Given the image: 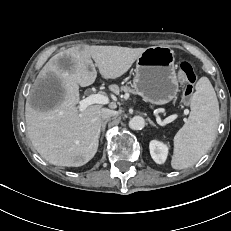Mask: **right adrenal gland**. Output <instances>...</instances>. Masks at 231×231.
<instances>
[{"mask_svg":"<svg viewBox=\"0 0 231 231\" xmlns=\"http://www.w3.org/2000/svg\"><path fill=\"white\" fill-rule=\"evenodd\" d=\"M108 121H109V120H105V121H103V122L101 123L100 131H102L103 133H104V131H105V127H106V124H107Z\"/></svg>","mask_w":231,"mask_h":231,"instance_id":"right-adrenal-gland-1","label":"right adrenal gland"}]
</instances>
